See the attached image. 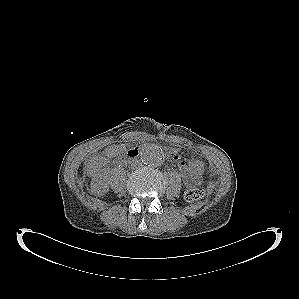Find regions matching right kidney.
<instances>
[{"mask_svg":"<svg viewBox=\"0 0 299 299\" xmlns=\"http://www.w3.org/2000/svg\"><path fill=\"white\" fill-rule=\"evenodd\" d=\"M91 189L92 192L97 195H104L108 192L109 186L105 176L102 173L98 174L95 178L92 179Z\"/></svg>","mask_w":299,"mask_h":299,"instance_id":"obj_1","label":"right kidney"}]
</instances>
